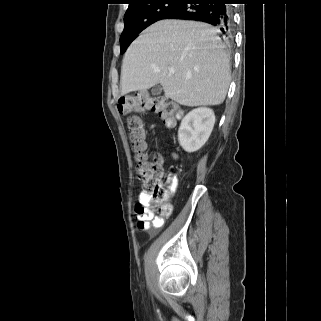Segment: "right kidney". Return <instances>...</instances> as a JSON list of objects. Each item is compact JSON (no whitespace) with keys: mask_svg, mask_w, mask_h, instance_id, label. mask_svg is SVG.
I'll list each match as a JSON object with an SVG mask.
<instances>
[{"mask_svg":"<svg viewBox=\"0 0 321 321\" xmlns=\"http://www.w3.org/2000/svg\"><path fill=\"white\" fill-rule=\"evenodd\" d=\"M215 124L212 109L201 107L190 111L182 120L178 130V140L188 152L199 150L208 140Z\"/></svg>","mask_w":321,"mask_h":321,"instance_id":"right-kidney-1","label":"right kidney"}]
</instances>
